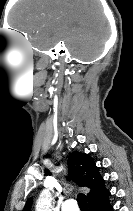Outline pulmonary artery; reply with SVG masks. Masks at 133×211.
I'll return each mask as SVG.
<instances>
[{"label":"pulmonary artery","mask_w":133,"mask_h":211,"mask_svg":"<svg viewBox=\"0 0 133 211\" xmlns=\"http://www.w3.org/2000/svg\"><path fill=\"white\" fill-rule=\"evenodd\" d=\"M62 211H79L77 203L74 199H67L61 207Z\"/></svg>","instance_id":"e3ab8cb5"}]
</instances>
